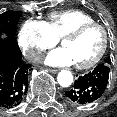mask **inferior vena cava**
<instances>
[{
    "label": "inferior vena cava",
    "mask_w": 117,
    "mask_h": 117,
    "mask_svg": "<svg viewBox=\"0 0 117 117\" xmlns=\"http://www.w3.org/2000/svg\"><path fill=\"white\" fill-rule=\"evenodd\" d=\"M43 59V55L37 52H34L30 55L29 60L33 63H40Z\"/></svg>",
    "instance_id": "obj_1"
}]
</instances>
